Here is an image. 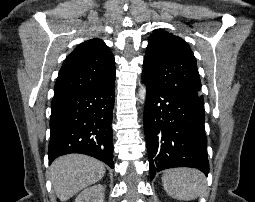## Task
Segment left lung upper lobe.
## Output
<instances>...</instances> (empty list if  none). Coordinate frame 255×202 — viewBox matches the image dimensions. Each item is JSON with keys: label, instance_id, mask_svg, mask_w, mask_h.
I'll list each match as a JSON object with an SVG mask.
<instances>
[{"label": "left lung upper lobe", "instance_id": "5c2ea615", "mask_svg": "<svg viewBox=\"0 0 255 202\" xmlns=\"http://www.w3.org/2000/svg\"><path fill=\"white\" fill-rule=\"evenodd\" d=\"M142 77L161 89L203 99L196 59L189 45L163 30L149 38Z\"/></svg>", "mask_w": 255, "mask_h": 202}]
</instances>
